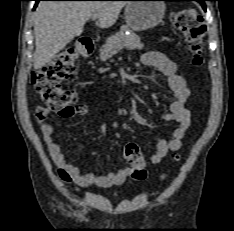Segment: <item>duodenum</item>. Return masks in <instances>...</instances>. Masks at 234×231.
<instances>
[{"instance_id": "duodenum-1", "label": "duodenum", "mask_w": 234, "mask_h": 231, "mask_svg": "<svg viewBox=\"0 0 234 231\" xmlns=\"http://www.w3.org/2000/svg\"><path fill=\"white\" fill-rule=\"evenodd\" d=\"M77 47L84 57H89L94 52L95 44L90 38L85 37L78 41Z\"/></svg>"}]
</instances>
